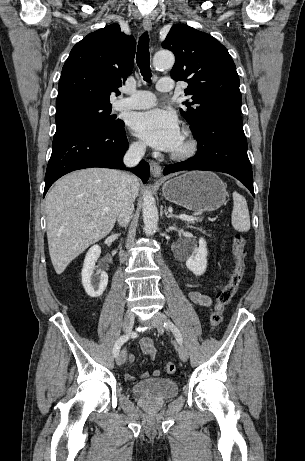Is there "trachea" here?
Returning a JSON list of instances; mask_svg holds the SVG:
<instances>
[{
  "instance_id": "obj_1",
  "label": "trachea",
  "mask_w": 305,
  "mask_h": 461,
  "mask_svg": "<svg viewBox=\"0 0 305 461\" xmlns=\"http://www.w3.org/2000/svg\"><path fill=\"white\" fill-rule=\"evenodd\" d=\"M136 61L144 80L146 82H149L151 78V69L149 53V36L147 32L143 33L139 38Z\"/></svg>"
}]
</instances>
